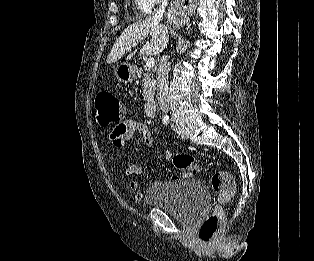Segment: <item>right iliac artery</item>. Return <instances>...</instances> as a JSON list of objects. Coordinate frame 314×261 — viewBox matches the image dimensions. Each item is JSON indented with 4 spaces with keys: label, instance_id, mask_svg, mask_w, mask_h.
<instances>
[{
    "label": "right iliac artery",
    "instance_id": "obj_1",
    "mask_svg": "<svg viewBox=\"0 0 314 261\" xmlns=\"http://www.w3.org/2000/svg\"><path fill=\"white\" fill-rule=\"evenodd\" d=\"M163 123H164L165 125H167V124L169 123V118H168V117L164 118V119H163Z\"/></svg>",
    "mask_w": 314,
    "mask_h": 261
}]
</instances>
